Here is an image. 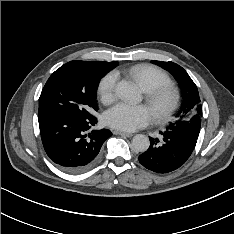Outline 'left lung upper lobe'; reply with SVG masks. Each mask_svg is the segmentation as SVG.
<instances>
[{
  "instance_id": "5c2ea615",
  "label": "left lung upper lobe",
  "mask_w": 234,
  "mask_h": 234,
  "mask_svg": "<svg viewBox=\"0 0 234 234\" xmlns=\"http://www.w3.org/2000/svg\"><path fill=\"white\" fill-rule=\"evenodd\" d=\"M152 63L168 70L178 81L182 90V107L176 115L177 120L171 123L167 129L183 130L191 137L197 139L202 117V106L197 86L187 72L178 64L155 60H153Z\"/></svg>"
}]
</instances>
